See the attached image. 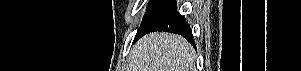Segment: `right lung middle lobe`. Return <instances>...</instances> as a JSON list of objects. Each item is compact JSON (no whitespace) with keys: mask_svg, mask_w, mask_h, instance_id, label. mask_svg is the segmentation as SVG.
I'll return each instance as SVG.
<instances>
[{"mask_svg":"<svg viewBox=\"0 0 301 71\" xmlns=\"http://www.w3.org/2000/svg\"><path fill=\"white\" fill-rule=\"evenodd\" d=\"M161 0H151L150 2H149V5H148V8H147V10H146V13H145V15H144V17H143V20H144V18L147 16V14L160 2Z\"/></svg>","mask_w":301,"mask_h":71,"instance_id":"right-lung-middle-lobe-1","label":"right lung middle lobe"}]
</instances>
